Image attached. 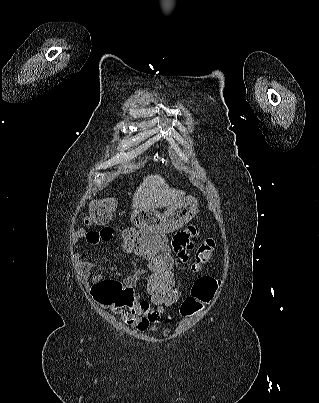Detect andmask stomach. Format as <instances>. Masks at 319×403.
Returning a JSON list of instances; mask_svg holds the SVG:
<instances>
[{"mask_svg":"<svg viewBox=\"0 0 319 403\" xmlns=\"http://www.w3.org/2000/svg\"><path fill=\"white\" fill-rule=\"evenodd\" d=\"M198 203L192 197L184 198L170 206L165 212L151 210H132L129 221L133 228L142 234H166L186 225L197 213Z\"/></svg>","mask_w":319,"mask_h":403,"instance_id":"1","label":"stomach"}]
</instances>
